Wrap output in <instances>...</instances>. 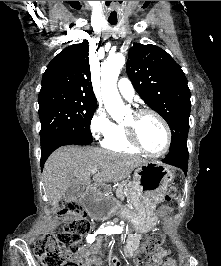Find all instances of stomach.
<instances>
[{
    "label": "stomach",
    "instance_id": "0dacf381",
    "mask_svg": "<svg viewBox=\"0 0 221 266\" xmlns=\"http://www.w3.org/2000/svg\"><path fill=\"white\" fill-rule=\"evenodd\" d=\"M175 170L160 161H146L134 172L129 189L132 215L139 227H146L157 220L155 205L162 202Z\"/></svg>",
    "mask_w": 221,
    "mask_h": 266
}]
</instances>
